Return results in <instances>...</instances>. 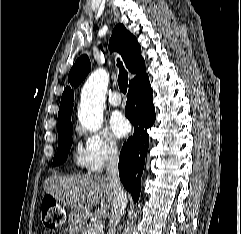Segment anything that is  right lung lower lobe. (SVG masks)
I'll return each mask as SVG.
<instances>
[{
	"label": "right lung lower lobe",
	"instance_id": "obj_1",
	"mask_svg": "<svg viewBox=\"0 0 241 234\" xmlns=\"http://www.w3.org/2000/svg\"><path fill=\"white\" fill-rule=\"evenodd\" d=\"M125 115L134 125V134L123 144L120 152L119 176L136 202L140 195L141 175L149 147L147 129L156 118L147 74L129 84Z\"/></svg>",
	"mask_w": 241,
	"mask_h": 234
}]
</instances>
